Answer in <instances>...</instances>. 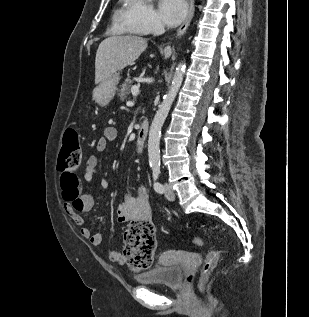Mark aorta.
<instances>
[{
	"label": "aorta",
	"mask_w": 309,
	"mask_h": 317,
	"mask_svg": "<svg viewBox=\"0 0 309 317\" xmlns=\"http://www.w3.org/2000/svg\"><path fill=\"white\" fill-rule=\"evenodd\" d=\"M185 73V64L179 63L176 67L172 83L169 91L165 95L163 102L156 112L149 130L148 138V157L149 165L151 167H158L160 165V137L161 129L168 116L172 103L181 87Z\"/></svg>",
	"instance_id": "762f6f07"
}]
</instances>
